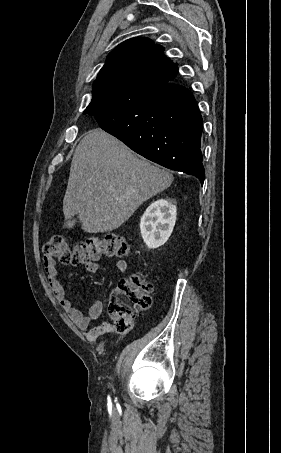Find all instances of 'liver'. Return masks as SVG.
<instances>
[{"label":"liver","instance_id":"liver-1","mask_svg":"<svg viewBox=\"0 0 281 453\" xmlns=\"http://www.w3.org/2000/svg\"><path fill=\"white\" fill-rule=\"evenodd\" d=\"M172 180L173 174L137 158L112 134L92 128L72 158L63 198L65 220L77 214L84 233H110Z\"/></svg>","mask_w":281,"mask_h":453}]
</instances>
